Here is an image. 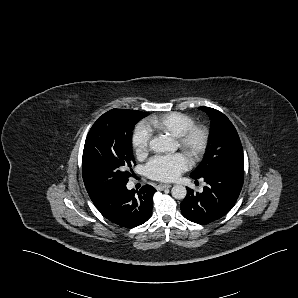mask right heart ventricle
I'll return each instance as SVG.
<instances>
[{
    "mask_svg": "<svg viewBox=\"0 0 298 298\" xmlns=\"http://www.w3.org/2000/svg\"><path fill=\"white\" fill-rule=\"evenodd\" d=\"M191 120L183 115H172L164 118L161 121L151 122L154 126L158 127L166 133H171L176 130L187 127Z\"/></svg>",
    "mask_w": 298,
    "mask_h": 298,
    "instance_id": "obj_1",
    "label": "right heart ventricle"
}]
</instances>
